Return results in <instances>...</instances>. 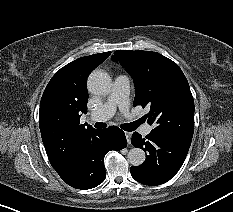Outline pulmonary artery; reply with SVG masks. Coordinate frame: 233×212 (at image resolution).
I'll use <instances>...</instances> for the list:
<instances>
[{
    "label": "pulmonary artery",
    "mask_w": 233,
    "mask_h": 212,
    "mask_svg": "<svg viewBox=\"0 0 233 212\" xmlns=\"http://www.w3.org/2000/svg\"><path fill=\"white\" fill-rule=\"evenodd\" d=\"M129 85L130 80L128 76L118 75L113 82L112 90L106 102L99 109L90 114V119L92 121H106L114 115L117 109L123 114L128 115ZM151 130V126L145 125L142 128V133L147 135Z\"/></svg>",
    "instance_id": "e3ab8cb5"
}]
</instances>
